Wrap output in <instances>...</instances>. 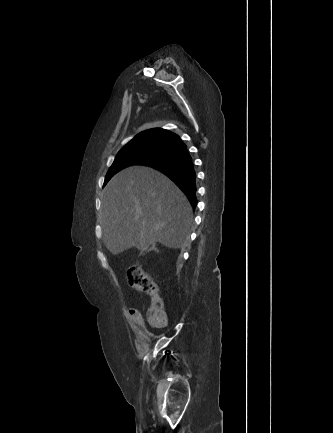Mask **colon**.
<instances>
[{"mask_svg": "<svg viewBox=\"0 0 333 433\" xmlns=\"http://www.w3.org/2000/svg\"><path fill=\"white\" fill-rule=\"evenodd\" d=\"M128 284L130 287L143 291L151 296L152 304L148 311L150 323L156 327H164L167 324L166 313L158 296L157 286L152 278L140 266H132L127 271Z\"/></svg>", "mask_w": 333, "mask_h": 433, "instance_id": "5ec220e1", "label": "colon"}]
</instances>
